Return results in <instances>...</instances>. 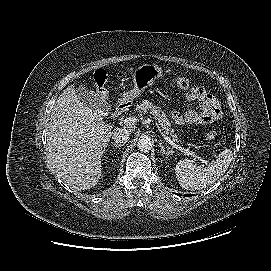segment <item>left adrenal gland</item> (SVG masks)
I'll return each instance as SVG.
<instances>
[{"label": "left adrenal gland", "instance_id": "1", "mask_svg": "<svg viewBox=\"0 0 271 271\" xmlns=\"http://www.w3.org/2000/svg\"><path fill=\"white\" fill-rule=\"evenodd\" d=\"M159 146L161 148V152H162V155H168L170 153V151H166L163 144L161 142H159Z\"/></svg>", "mask_w": 271, "mask_h": 271}]
</instances>
